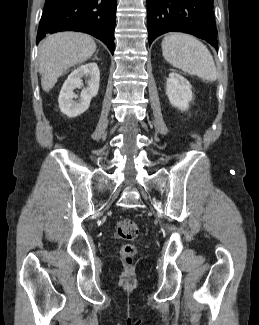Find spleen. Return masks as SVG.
Listing matches in <instances>:
<instances>
[{"label": "spleen", "mask_w": 259, "mask_h": 325, "mask_svg": "<svg viewBox=\"0 0 259 325\" xmlns=\"http://www.w3.org/2000/svg\"><path fill=\"white\" fill-rule=\"evenodd\" d=\"M165 60L182 71L206 81L217 78L216 66L208 48L195 37L173 33L162 40Z\"/></svg>", "instance_id": "spleen-1"}]
</instances>
